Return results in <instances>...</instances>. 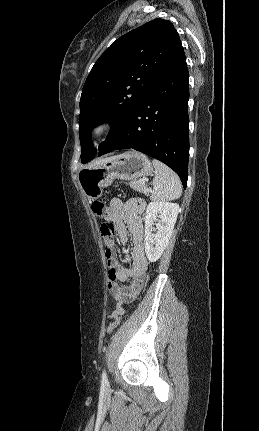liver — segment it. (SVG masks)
<instances>
[{"label":"liver","mask_w":259,"mask_h":431,"mask_svg":"<svg viewBox=\"0 0 259 431\" xmlns=\"http://www.w3.org/2000/svg\"><path fill=\"white\" fill-rule=\"evenodd\" d=\"M116 157V156H115ZM115 157H109V158H104V159H98V160H96L95 162H93L89 167H92V166H95V165H99V164H101V163H103V162H106V161H108V160H111V159H113V158H115Z\"/></svg>","instance_id":"6515ba94"}]
</instances>
